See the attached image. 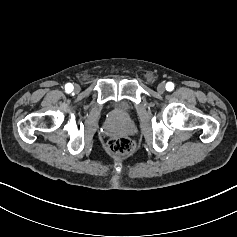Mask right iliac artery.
Here are the masks:
<instances>
[{
	"instance_id": "1",
	"label": "right iliac artery",
	"mask_w": 237,
	"mask_h": 237,
	"mask_svg": "<svg viewBox=\"0 0 237 237\" xmlns=\"http://www.w3.org/2000/svg\"><path fill=\"white\" fill-rule=\"evenodd\" d=\"M73 85L71 84V83H67L66 85H65V90H66V92L67 93H70V92H72L73 91Z\"/></svg>"
}]
</instances>
